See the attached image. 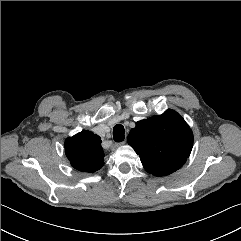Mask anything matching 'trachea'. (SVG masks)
<instances>
[{
  "mask_svg": "<svg viewBox=\"0 0 241 241\" xmlns=\"http://www.w3.org/2000/svg\"><path fill=\"white\" fill-rule=\"evenodd\" d=\"M113 137H114V141L116 142H122L124 140L125 131H124L123 125L117 124L114 126Z\"/></svg>",
  "mask_w": 241,
  "mask_h": 241,
  "instance_id": "3493384b",
  "label": "trachea"
}]
</instances>
